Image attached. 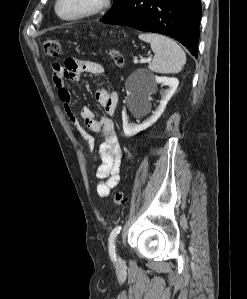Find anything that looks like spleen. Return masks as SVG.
<instances>
[{"label": "spleen", "instance_id": "3e777b00", "mask_svg": "<svg viewBox=\"0 0 247 299\" xmlns=\"http://www.w3.org/2000/svg\"><path fill=\"white\" fill-rule=\"evenodd\" d=\"M142 41L150 43L155 56L149 69L155 73H178L186 63V55L182 48L172 39L159 34H140Z\"/></svg>", "mask_w": 247, "mask_h": 299}]
</instances>
